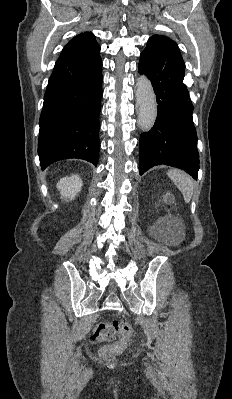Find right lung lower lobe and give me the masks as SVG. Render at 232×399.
Instances as JSON below:
<instances>
[{"label":"right lung lower lobe","mask_w":232,"mask_h":399,"mask_svg":"<svg viewBox=\"0 0 232 399\" xmlns=\"http://www.w3.org/2000/svg\"><path fill=\"white\" fill-rule=\"evenodd\" d=\"M99 53L60 56L48 81L39 125L41 168L68 158L97 164L102 97Z\"/></svg>","instance_id":"right-lung-lower-lobe-1"}]
</instances>
